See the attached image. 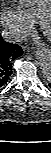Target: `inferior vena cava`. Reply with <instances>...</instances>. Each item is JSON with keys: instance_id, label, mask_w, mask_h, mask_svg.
Segmentation results:
<instances>
[{"instance_id": "1", "label": "inferior vena cava", "mask_w": 51, "mask_h": 153, "mask_svg": "<svg viewBox=\"0 0 51 153\" xmlns=\"http://www.w3.org/2000/svg\"><path fill=\"white\" fill-rule=\"evenodd\" d=\"M2 37L8 42H20L25 40L26 36L17 28H5L2 31Z\"/></svg>"}]
</instances>
